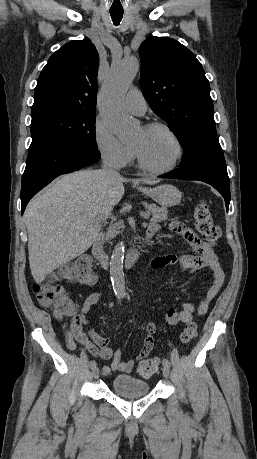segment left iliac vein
<instances>
[{
	"instance_id": "left-iliac-vein-1",
	"label": "left iliac vein",
	"mask_w": 257,
	"mask_h": 459,
	"mask_svg": "<svg viewBox=\"0 0 257 459\" xmlns=\"http://www.w3.org/2000/svg\"><path fill=\"white\" fill-rule=\"evenodd\" d=\"M162 372H163V376H164L165 378H168V377H169V373H170L169 367L164 366Z\"/></svg>"
}]
</instances>
